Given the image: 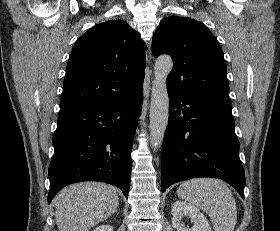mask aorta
<instances>
[{"label": "aorta", "mask_w": 280, "mask_h": 231, "mask_svg": "<svg viewBox=\"0 0 280 231\" xmlns=\"http://www.w3.org/2000/svg\"><path fill=\"white\" fill-rule=\"evenodd\" d=\"M173 68L170 56H159L154 66L150 108V143L153 149L161 147L169 117V98L166 86L168 74Z\"/></svg>", "instance_id": "aorta-1"}]
</instances>
